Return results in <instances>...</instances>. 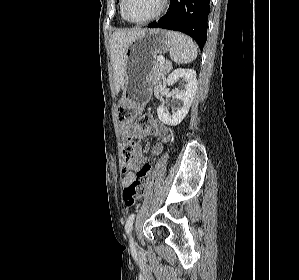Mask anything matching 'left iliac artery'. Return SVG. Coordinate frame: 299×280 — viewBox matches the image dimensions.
<instances>
[{
	"label": "left iliac artery",
	"instance_id": "left-iliac-artery-1",
	"mask_svg": "<svg viewBox=\"0 0 299 280\" xmlns=\"http://www.w3.org/2000/svg\"><path fill=\"white\" fill-rule=\"evenodd\" d=\"M134 218H135V214H131L126 221L125 231L127 234H129L132 231Z\"/></svg>",
	"mask_w": 299,
	"mask_h": 280
}]
</instances>
